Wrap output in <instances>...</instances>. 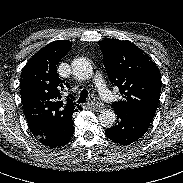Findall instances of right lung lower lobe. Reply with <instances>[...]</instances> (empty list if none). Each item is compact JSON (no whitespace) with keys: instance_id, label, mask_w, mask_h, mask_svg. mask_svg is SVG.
<instances>
[{"instance_id":"obj_1","label":"right lung lower lobe","mask_w":183,"mask_h":183,"mask_svg":"<svg viewBox=\"0 0 183 183\" xmlns=\"http://www.w3.org/2000/svg\"><path fill=\"white\" fill-rule=\"evenodd\" d=\"M73 133H74V128L72 131H70L69 133L64 134V135L39 136L37 138L43 145L49 146L51 148H56V147H62L64 145H66L71 140Z\"/></svg>"}]
</instances>
